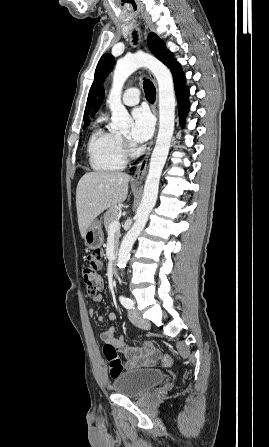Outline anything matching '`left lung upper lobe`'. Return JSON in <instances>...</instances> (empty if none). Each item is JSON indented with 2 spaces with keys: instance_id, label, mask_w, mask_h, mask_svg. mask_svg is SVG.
<instances>
[{
  "instance_id": "5c2ea615",
  "label": "left lung upper lobe",
  "mask_w": 269,
  "mask_h": 447,
  "mask_svg": "<svg viewBox=\"0 0 269 447\" xmlns=\"http://www.w3.org/2000/svg\"><path fill=\"white\" fill-rule=\"evenodd\" d=\"M148 46L152 53L169 68L175 62L173 54L166 48L164 42L159 39L154 33L148 36ZM115 64L114 57L110 54H105L98 62L95 71V79L89 91L88 100L84 112V120L87 119L90 110L95 102L96 96L102 86V83L108 73L113 69Z\"/></svg>"
}]
</instances>
